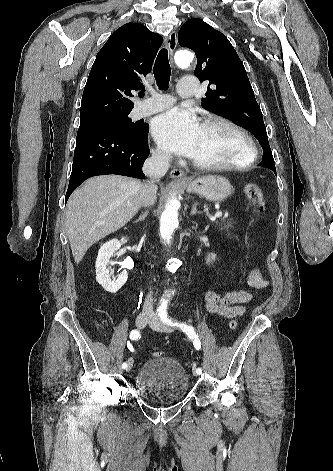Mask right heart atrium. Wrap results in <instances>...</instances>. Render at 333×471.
<instances>
[{"instance_id": "1", "label": "right heart atrium", "mask_w": 333, "mask_h": 471, "mask_svg": "<svg viewBox=\"0 0 333 471\" xmlns=\"http://www.w3.org/2000/svg\"><path fill=\"white\" fill-rule=\"evenodd\" d=\"M154 157L160 163H167L169 161V155L161 149L154 151Z\"/></svg>"}]
</instances>
